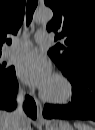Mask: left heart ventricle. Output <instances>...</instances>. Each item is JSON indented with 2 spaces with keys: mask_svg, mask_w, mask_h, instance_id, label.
Masks as SVG:
<instances>
[{
  "mask_svg": "<svg viewBox=\"0 0 95 130\" xmlns=\"http://www.w3.org/2000/svg\"><path fill=\"white\" fill-rule=\"evenodd\" d=\"M43 91L50 97H61L65 93V86L62 81L53 76Z\"/></svg>",
  "mask_w": 95,
  "mask_h": 130,
  "instance_id": "left-heart-ventricle-1",
  "label": "left heart ventricle"
}]
</instances>
